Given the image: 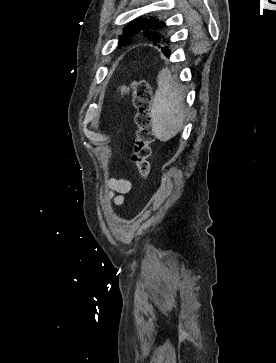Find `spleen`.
<instances>
[{
  "label": "spleen",
  "instance_id": "obj_1",
  "mask_svg": "<svg viewBox=\"0 0 276 363\" xmlns=\"http://www.w3.org/2000/svg\"><path fill=\"white\" fill-rule=\"evenodd\" d=\"M158 89L155 93L151 120L155 136L163 142L169 141L182 129L185 118L183 86L173 77L168 68L158 74Z\"/></svg>",
  "mask_w": 276,
  "mask_h": 363
}]
</instances>
